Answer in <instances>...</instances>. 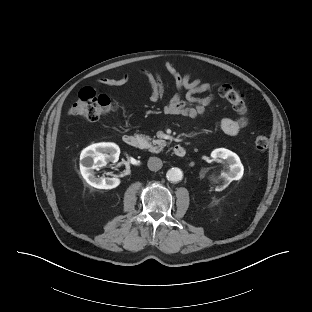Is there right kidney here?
Segmentation results:
<instances>
[{
    "mask_svg": "<svg viewBox=\"0 0 312 312\" xmlns=\"http://www.w3.org/2000/svg\"><path fill=\"white\" fill-rule=\"evenodd\" d=\"M120 149L114 143H97L85 148L80 155V172L85 181L98 189H112L120 184L117 177H96L94 169L103 167L107 161L116 162Z\"/></svg>",
    "mask_w": 312,
    "mask_h": 312,
    "instance_id": "right-kidney-1",
    "label": "right kidney"
}]
</instances>
